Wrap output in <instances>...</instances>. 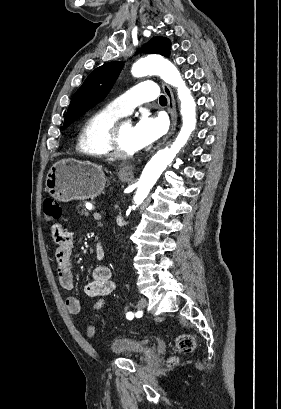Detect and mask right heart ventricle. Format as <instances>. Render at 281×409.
Listing matches in <instances>:
<instances>
[{
	"mask_svg": "<svg viewBox=\"0 0 281 409\" xmlns=\"http://www.w3.org/2000/svg\"><path fill=\"white\" fill-rule=\"evenodd\" d=\"M119 117L117 112L107 107L93 112L86 119L81 131L79 144L81 151L93 158L108 157L103 143L105 132Z\"/></svg>",
	"mask_w": 281,
	"mask_h": 409,
	"instance_id": "1",
	"label": "right heart ventricle"
}]
</instances>
